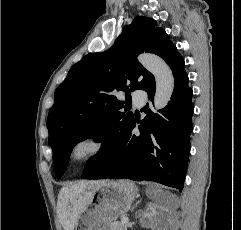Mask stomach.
<instances>
[{
	"label": "stomach",
	"mask_w": 241,
	"mask_h": 230,
	"mask_svg": "<svg viewBox=\"0 0 241 230\" xmlns=\"http://www.w3.org/2000/svg\"><path fill=\"white\" fill-rule=\"evenodd\" d=\"M137 193L129 181L95 183L93 195L79 215L75 230H111V224L130 209Z\"/></svg>",
	"instance_id": "0dacf381"
}]
</instances>
